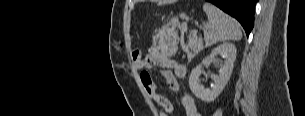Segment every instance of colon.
<instances>
[{
	"instance_id": "1",
	"label": "colon",
	"mask_w": 305,
	"mask_h": 116,
	"mask_svg": "<svg viewBox=\"0 0 305 116\" xmlns=\"http://www.w3.org/2000/svg\"><path fill=\"white\" fill-rule=\"evenodd\" d=\"M141 75H142L143 78L149 79V73L148 72L144 71V72H142Z\"/></svg>"
}]
</instances>
